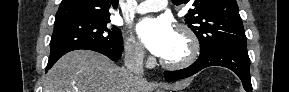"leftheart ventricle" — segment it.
<instances>
[{
  "label": "left heart ventricle",
  "mask_w": 289,
  "mask_h": 92,
  "mask_svg": "<svg viewBox=\"0 0 289 92\" xmlns=\"http://www.w3.org/2000/svg\"><path fill=\"white\" fill-rule=\"evenodd\" d=\"M188 53V43L186 39L176 32L174 43L163 59L168 61H178L183 59Z\"/></svg>",
  "instance_id": "b2bd125f"
}]
</instances>
